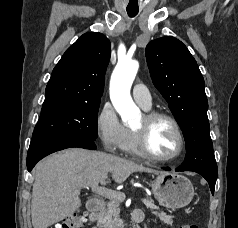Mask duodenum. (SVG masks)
I'll use <instances>...</instances> for the list:
<instances>
[{
	"label": "duodenum",
	"mask_w": 238,
	"mask_h": 228,
	"mask_svg": "<svg viewBox=\"0 0 238 228\" xmlns=\"http://www.w3.org/2000/svg\"><path fill=\"white\" fill-rule=\"evenodd\" d=\"M104 201L102 199H92L88 202L87 210L89 213L90 221L98 222L101 220L102 211L104 209ZM144 219V213L142 210L136 209L130 215V228H138L137 224Z\"/></svg>",
	"instance_id": "duodenum-1"
}]
</instances>
